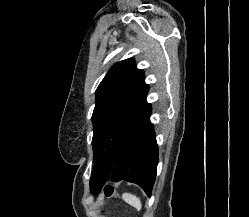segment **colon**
Wrapping results in <instances>:
<instances>
[{"instance_id":"5ec220e1","label":"colon","mask_w":249,"mask_h":217,"mask_svg":"<svg viewBox=\"0 0 249 217\" xmlns=\"http://www.w3.org/2000/svg\"><path fill=\"white\" fill-rule=\"evenodd\" d=\"M104 195L105 197L107 198H113L116 196V191L113 187H106L105 190H104Z\"/></svg>"}]
</instances>
